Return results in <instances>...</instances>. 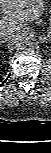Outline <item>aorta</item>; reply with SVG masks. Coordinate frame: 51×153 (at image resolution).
I'll list each match as a JSON object with an SVG mask.
<instances>
[{"label":"aorta","mask_w":51,"mask_h":153,"mask_svg":"<svg viewBox=\"0 0 51 153\" xmlns=\"http://www.w3.org/2000/svg\"><path fill=\"white\" fill-rule=\"evenodd\" d=\"M35 40L29 34L18 36L14 41V47L18 51H29L34 47Z\"/></svg>","instance_id":"aorta-1"}]
</instances>
